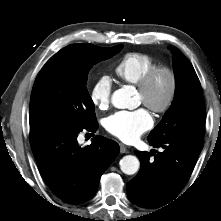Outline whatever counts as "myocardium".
<instances>
[{
    "label": "myocardium",
    "mask_w": 221,
    "mask_h": 221,
    "mask_svg": "<svg viewBox=\"0 0 221 221\" xmlns=\"http://www.w3.org/2000/svg\"><path fill=\"white\" fill-rule=\"evenodd\" d=\"M165 74L168 77V92L164 101L155 105L148 99L149 91L156 78ZM137 89L142 97L143 104L155 113H166L173 105L178 91V76L176 71L168 65H156L152 67L139 81Z\"/></svg>",
    "instance_id": "myocardium-1"
}]
</instances>
